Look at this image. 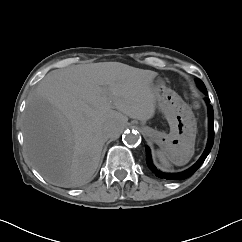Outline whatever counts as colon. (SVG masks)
Here are the masks:
<instances>
[{"label": "colon", "mask_w": 242, "mask_h": 242, "mask_svg": "<svg viewBox=\"0 0 242 242\" xmlns=\"http://www.w3.org/2000/svg\"><path fill=\"white\" fill-rule=\"evenodd\" d=\"M193 105H194L195 107H197V106H198V102L195 101V102L193 103Z\"/></svg>", "instance_id": "1"}]
</instances>
